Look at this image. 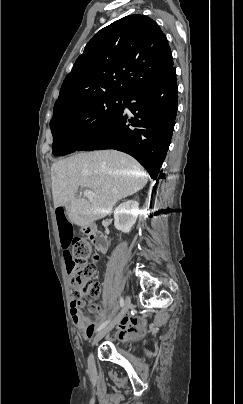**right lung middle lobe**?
Returning a JSON list of instances; mask_svg holds the SVG:
<instances>
[{
	"label": "right lung middle lobe",
	"instance_id": "dd1d6c3e",
	"mask_svg": "<svg viewBox=\"0 0 243 404\" xmlns=\"http://www.w3.org/2000/svg\"><path fill=\"white\" fill-rule=\"evenodd\" d=\"M123 99L102 97L53 117L50 128L54 156L72 153L98 134L117 114Z\"/></svg>",
	"mask_w": 243,
	"mask_h": 404
}]
</instances>
